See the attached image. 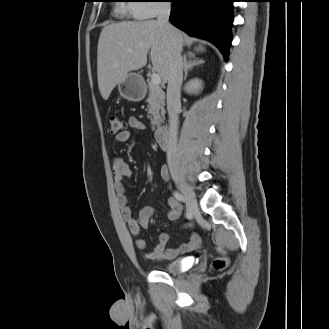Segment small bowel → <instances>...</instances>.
Wrapping results in <instances>:
<instances>
[{"label":"small bowel","mask_w":329,"mask_h":329,"mask_svg":"<svg viewBox=\"0 0 329 329\" xmlns=\"http://www.w3.org/2000/svg\"><path fill=\"white\" fill-rule=\"evenodd\" d=\"M128 126L133 130H144L146 128V125L135 117H130L128 119ZM129 140L130 132L128 130H125L116 136V141L119 143H126ZM112 172L117 204L120 208L122 218L127 223L131 234L136 237L135 246L138 250L142 251L144 259L154 262L171 260L197 248L200 240L196 235H192L186 242L178 246L167 248L169 236L166 233H162L159 236L158 243L154 250L152 252L145 251L146 241L140 236V233L142 229L148 228L150 220L156 215V211L154 208L146 206L140 210L138 218H134L129 205V198L124 187V180L132 175V170L122 157H117L113 161ZM160 175L166 181L169 179V171L165 166L161 167ZM169 206L170 208L167 214L168 218L170 220L178 219L182 211L179 202L174 198H170Z\"/></svg>","instance_id":"small-bowel-1"}]
</instances>
